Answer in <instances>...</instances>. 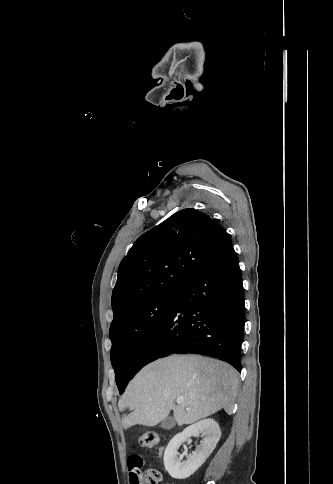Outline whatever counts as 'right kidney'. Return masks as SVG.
<instances>
[{
    "instance_id": "ca27d5eb",
    "label": "right kidney",
    "mask_w": 333,
    "mask_h": 484,
    "mask_svg": "<svg viewBox=\"0 0 333 484\" xmlns=\"http://www.w3.org/2000/svg\"><path fill=\"white\" fill-rule=\"evenodd\" d=\"M201 435L200 445L182 461L185 454L177 456L180 445L189 437ZM221 436L219 425L213 419L201 420L175 435L164 453V466L168 474L175 479H186L195 473L215 449Z\"/></svg>"
}]
</instances>
